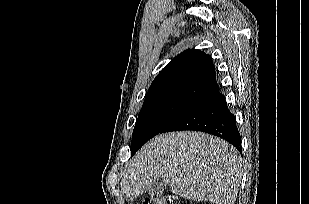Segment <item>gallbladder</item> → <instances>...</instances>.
Instances as JSON below:
<instances>
[{
	"label": "gallbladder",
	"mask_w": 309,
	"mask_h": 204,
	"mask_svg": "<svg viewBox=\"0 0 309 204\" xmlns=\"http://www.w3.org/2000/svg\"><path fill=\"white\" fill-rule=\"evenodd\" d=\"M169 186V182L163 177H158L152 180L149 187V194L158 196Z\"/></svg>",
	"instance_id": "gallbladder-1"
}]
</instances>
